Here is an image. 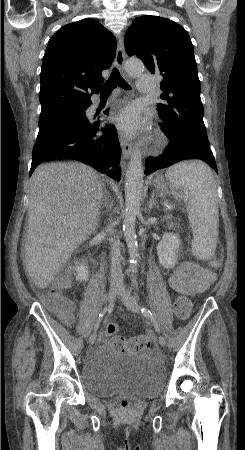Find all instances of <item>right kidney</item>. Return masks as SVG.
I'll list each match as a JSON object with an SVG mask.
<instances>
[{
  "instance_id": "1",
  "label": "right kidney",
  "mask_w": 245,
  "mask_h": 450,
  "mask_svg": "<svg viewBox=\"0 0 245 450\" xmlns=\"http://www.w3.org/2000/svg\"><path fill=\"white\" fill-rule=\"evenodd\" d=\"M76 279L78 281H85L88 278L89 275V271H88V267L85 265V263H80L78 264V266L76 267Z\"/></svg>"
}]
</instances>
